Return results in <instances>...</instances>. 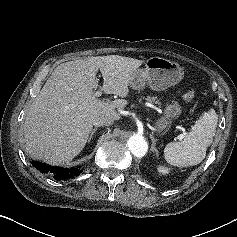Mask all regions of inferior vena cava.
Segmentation results:
<instances>
[{
	"instance_id": "602c4592",
	"label": "inferior vena cava",
	"mask_w": 237,
	"mask_h": 237,
	"mask_svg": "<svg viewBox=\"0 0 237 237\" xmlns=\"http://www.w3.org/2000/svg\"><path fill=\"white\" fill-rule=\"evenodd\" d=\"M114 119L108 116H98L93 120V125L96 127L99 126H109L113 124Z\"/></svg>"
}]
</instances>
